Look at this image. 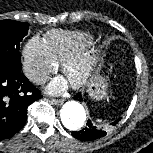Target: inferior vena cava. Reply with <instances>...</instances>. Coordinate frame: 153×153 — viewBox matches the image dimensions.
<instances>
[{
    "instance_id": "inferior-vena-cava-1",
    "label": "inferior vena cava",
    "mask_w": 153,
    "mask_h": 153,
    "mask_svg": "<svg viewBox=\"0 0 153 153\" xmlns=\"http://www.w3.org/2000/svg\"><path fill=\"white\" fill-rule=\"evenodd\" d=\"M29 78L38 84L45 83L49 79L48 75L44 73H31L29 74Z\"/></svg>"
}]
</instances>
